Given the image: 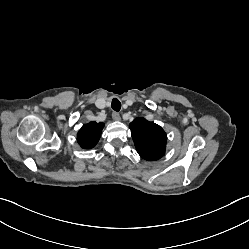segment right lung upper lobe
<instances>
[{
    "label": "right lung upper lobe",
    "mask_w": 249,
    "mask_h": 249,
    "mask_svg": "<svg viewBox=\"0 0 249 249\" xmlns=\"http://www.w3.org/2000/svg\"><path fill=\"white\" fill-rule=\"evenodd\" d=\"M103 127V123H96L94 121L83 125L77 134L79 145L84 149L93 148L100 139Z\"/></svg>",
    "instance_id": "right-lung-upper-lobe-1"
}]
</instances>
